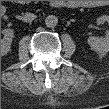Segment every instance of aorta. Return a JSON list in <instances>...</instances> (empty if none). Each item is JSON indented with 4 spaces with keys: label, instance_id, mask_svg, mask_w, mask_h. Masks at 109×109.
<instances>
[{
    "label": "aorta",
    "instance_id": "obj_1",
    "mask_svg": "<svg viewBox=\"0 0 109 109\" xmlns=\"http://www.w3.org/2000/svg\"><path fill=\"white\" fill-rule=\"evenodd\" d=\"M58 18L55 15H48L45 19V24L47 27L53 28L57 25Z\"/></svg>",
    "mask_w": 109,
    "mask_h": 109
}]
</instances>
